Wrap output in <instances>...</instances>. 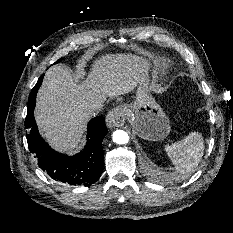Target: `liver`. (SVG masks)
I'll return each instance as SVG.
<instances>
[{
    "instance_id": "1",
    "label": "liver",
    "mask_w": 233,
    "mask_h": 233,
    "mask_svg": "<svg viewBox=\"0 0 233 233\" xmlns=\"http://www.w3.org/2000/svg\"><path fill=\"white\" fill-rule=\"evenodd\" d=\"M146 68L141 57L122 53L96 59L87 79L80 83L64 65L49 68L35 109L41 133L56 150L72 152L93 115V104L133 91Z\"/></svg>"
}]
</instances>
